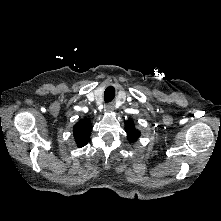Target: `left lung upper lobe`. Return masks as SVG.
I'll use <instances>...</instances> for the list:
<instances>
[{
  "mask_svg": "<svg viewBox=\"0 0 221 221\" xmlns=\"http://www.w3.org/2000/svg\"><path fill=\"white\" fill-rule=\"evenodd\" d=\"M125 131L130 142H135L140 137V131L135 129L132 121L125 122Z\"/></svg>",
  "mask_w": 221,
  "mask_h": 221,
  "instance_id": "obj_1",
  "label": "left lung upper lobe"
}]
</instances>
